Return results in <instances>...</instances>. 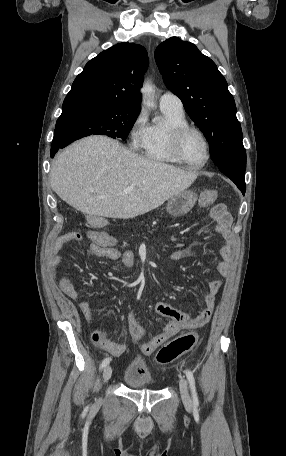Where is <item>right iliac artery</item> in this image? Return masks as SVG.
I'll list each match as a JSON object with an SVG mask.
<instances>
[{
  "instance_id": "1",
  "label": "right iliac artery",
  "mask_w": 286,
  "mask_h": 456,
  "mask_svg": "<svg viewBox=\"0 0 286 456\" xmlns=\"http://www.w3.org/2000/svg\"><path fill=\"white\" fill-rule=\"evenodd\" d=\"M110 361H111V359L109 357L105 358L100 365V369H103L104 367H106L110 363Z\"/></svg>"
}]
</instances>
